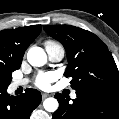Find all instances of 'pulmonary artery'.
I'll return each instance as SVG.
<instances>
[{
    "mask_svg": "<svg viewBox=\"0 0 119 119\" xmlns=\"http://www.w3.org/2000/svg\"><path fill=\"white\" fill-rule=\"evenodd\" d=\"M46 52L48 54L49 60L52 62H59L64 58L65 51L61 45L58 44H48L45 45ZM29 82L28 79L15 80L11 84V90H16L21 86H25ZM71 97L76 98V93L72 92Z\"/></svg>",
    "mask_w": 119,
    "mask_h": 119,
    "instance_id": "1",
    "label": "pulmonary artery"
}]
</instances>
